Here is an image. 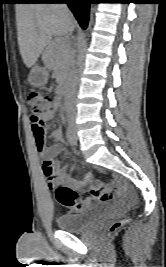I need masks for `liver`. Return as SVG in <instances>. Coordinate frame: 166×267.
Wrapping results in <instances>:
<instances>
[{
  "label": "liver",
  "mask_w": 166,
  "mask_h": 267,
  "mask_svg": "<svg viewBox=\"0 0 166 267\" xmlns=\"http://www.w3.org/2000/svg\"><path fill=\"white\" fill-rule=\"evenodd\" d=\"M17 36L24 64L30 68L53 36L71 33L76 21L58 4L19 3L15 6Z\"/></svg>",
  "instance_id": "obj_1"
}]
</instances>
